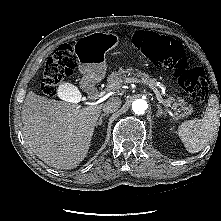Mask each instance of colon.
<instances>
[{"label": "colon", "instance_id": "obj_1", "mask_svg": "<svg viewBox=\"0 0 221 221\" xmlns=\"http://www.w3.org/2000/svg\"><path fill=\"white\" fill-rule=\"evenodd\" d=\"M134 45L156 66L173 70L178 80L196 102L208 96L209 79L201 68H191L181 44L175 39L155 32L139 30L133 35ZM76 67V57L70 44L57 47L49 56L43 72L42 91L47 96L55 93L57 85L70 76Z\"/></svg>", "mask_w": 221, "mask_h": 221}]
</instances>
